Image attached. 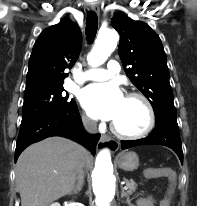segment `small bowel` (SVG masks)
Segmentation results:
<instances>
[{"label": "small bowel", "mask_w": 197, "mask_h": 206, "mask_svg": "<svg viewBox=\"0 0 197 206\" xmlns=\"http://www.w3.org/2000/svg\"><path fill=\"white\" fill-rule=\"evenodd\" d=\"M162 201L160 202L159 206H161ZM138 206H156L155 202L148 197H141L138 199Z\"/></svg>", "instance_id": "c3829d8e"}]
</instances>
